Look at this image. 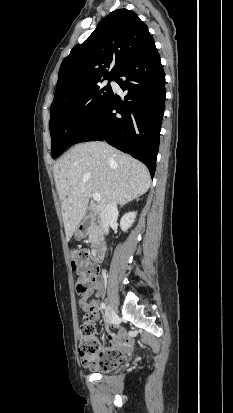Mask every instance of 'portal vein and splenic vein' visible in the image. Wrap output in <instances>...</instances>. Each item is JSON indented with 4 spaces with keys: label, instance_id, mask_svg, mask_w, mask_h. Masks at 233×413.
Instances as JSON below:
<instances>
[{
    "label": "portal vein and splenic vein",
    "instance_id": "portal-vein-and-splenic-vein-1",
    "mask_svg": "<svg viewBox=\"0 0 233 413\" xmlns=\"http://www.w3.org/2000/svg\"><path fill=\"white\" fill-rule=\"evenodd\" d=\"M92 198H93V200H95V201H100V200H101V196H100V194H98V193H93V194H92Z\"/></svg>",
    "mask_w": 233,
    "mask_h": 413
}]
</instances>
